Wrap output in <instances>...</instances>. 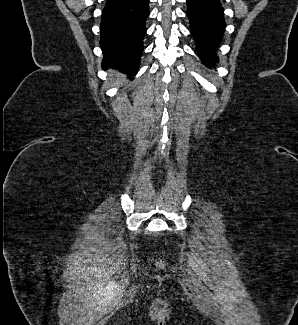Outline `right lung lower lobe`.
I'll return each mask as SVG.
<instances>
[{"label": "right lung lower lobe", "instance_id": "98d812e1", "mask_svg": "<svg viewBox=\"0 0 298 325\" xmlns=\"http://www.w3.org/2000/svg\"><path fill=\"white\" fill-rule=\"evenodd\" d=\"M148 7V0H107L100 24L103 68L135 74L143 52Z\"/></svg>", "mask_w": 298, "mask_h": 325}]
</instances>
